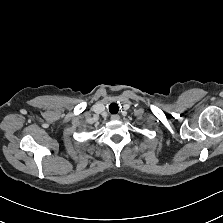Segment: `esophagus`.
I'll list each match as a JSON object with an SVG mask.
<instances>
[{"label":"esophagus","mask_w":223,"mask_h":223,"mask_svg":"<svg viewBox=\"0 0 223 223\" xmlns=\"http://www.w3.org/2000/svg\"><path fill=\"white\" fill-rule=\"evenodd\" d=\"M119 119H120V116L117 115V114H113V115L111 116V120H119Z\"/></svg>","instance_id":"34e87169"}]
</instances>
